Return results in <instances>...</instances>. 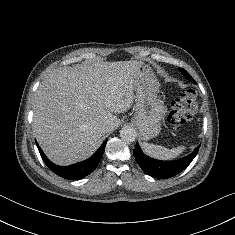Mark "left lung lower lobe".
<instances>
[{"instance_id":"obj_1","label":"left lung lower lobe","mask_w":235,"mask_h":235,"mask_svg":"<svg viewBox=\"0 0 235 235\" xmlns=\"http://www.w3.org/2000/svg\"><path fill=\"white\" fill-rule=\"evenodd\" d=\"M199 148L200 145L196 147L191 154L181 159L174 161H160L145 155L137 143L133 155L139 166L148 175L159 179H166L177 175L187 168L197 155Z\"/></svg>"}]
</instances>
